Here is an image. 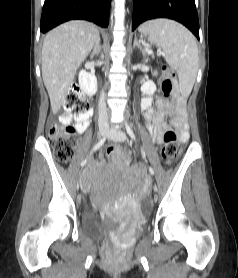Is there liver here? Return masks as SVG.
Returning a JSON list of instances; mask_svg holds the SVG:
<instances>
[{"label": "liver", "instance_id": "6515ba94", "mask_svg": "<svg viewBox=\"0 0 238 278\" xmlns=\"http://www.w3.org/2000/svg\"><path fill=\"white\" fill-rule=\"evenodd\" d=\"M98 39L97 27L80 20L64 23L44 38L42 77L53 113H57L65 101L77 69Z\"/></svg>", "mask_w": 238, "mask_h": 278}]
</instances>
